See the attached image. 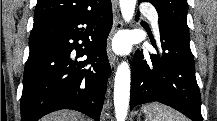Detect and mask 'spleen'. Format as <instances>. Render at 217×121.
<instances>
[{
    "mask_svg": "<svg viewBox=\"0 0 217 121\" xmlns=\"http://www.w3.org/2000/svg\"><path fill=\"white\" fill-rule=\"evenodd\" d=\"M143 113L146 115V121H186L180 113L159 103L145 106Z\"/></svg>",
    "mask_w": 217,
    "mask_h": 121,
    "instance_id": "3e777b00",
    "label": "spleen"
}]
</instances>
